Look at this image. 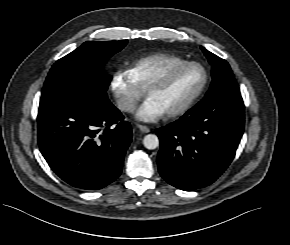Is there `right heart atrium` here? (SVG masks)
I'll return each instance as SVG.
<instances>
[{
	"instance_id": "obj_1",
	"label": "right heart atrium",
	"mask_w": 290,
	"mask_h": 245,
	"mask_svg": "<svg viewBox=\"0 0 290 245\" xmlns=\"http://www.w3.org/2000/svg\"><path fill=\"white\" fill-rule=\"evenodd\" d=\"M110 88L118 108L124 112H131L143 94L131 71L125 68L114 72Z\"/></svg>"
}]
</instances>
